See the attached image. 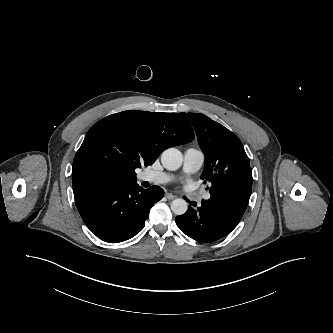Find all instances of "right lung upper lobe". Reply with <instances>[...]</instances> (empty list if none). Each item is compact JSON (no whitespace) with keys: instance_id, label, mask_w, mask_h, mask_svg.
I'll use <instances>...</instances> for the list:
<instances>
[{"instance_id":"right-lung-upper-lobe-1","label":"right lung upper lobe","mask_w":333,"mask_h":333,"mask_svg":"<svg viewBox=\"0 0 333 333\" xmlns=\"http://www.w3.org/2000/svg\"><path fill=\"white\" fill-rule=\"evenodd\" d=\"M177 113L123 111L97 122L77 151L73 187L87 182L136 184L135 169L152 164L161 152L194 139Z\"/></svg>"}]
</instances>
